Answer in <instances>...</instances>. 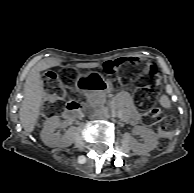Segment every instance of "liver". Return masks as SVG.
<instances>
[{"label":"liver","instance_id":"6515ba94","mask_svg":"<svg viewBox=\"0 0 194 193\" xmlns=\"http://www.w3.org/2000/svg\"><path fill=\"white\" fill-rule=\"evenodd\" d=\"M60 60L48 58L38 62L30 71L24 85V99L19 110V119L27 133L33 132L37 123L40 108L43 105L46 92L43 89L40 72L59 66ZM99 63H78V68H95Z\"/></svg>","mask_w":194,"mask_h":193}]
</instances>
